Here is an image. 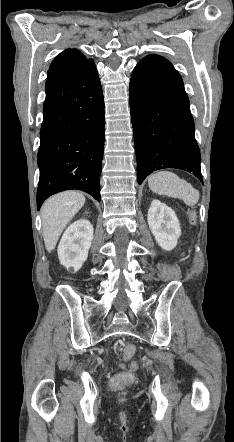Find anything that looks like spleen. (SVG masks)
Returning <instances> with one entry per match:
<instances>
[{
	"label": "spleen",
	"instance_id": "3e777b00",
	"mask_svg": "<svg viewBox=\"0 0 234 442\" xmlns=\"http://www.w3.org/2000/svg\"><path fill=\"white\" fill-rule=\"evenodd\" d=\"M151 191L171 198H179L188 206H194L199 200V192L185 180L170 171H158L148 178Z\"/></svg>",
	"mask_w": 234,
	"mask_h": 442
}]
</instances>
